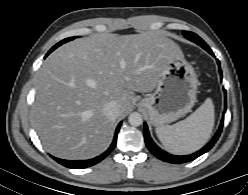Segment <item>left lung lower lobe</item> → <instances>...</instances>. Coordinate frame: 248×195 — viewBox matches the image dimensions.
Wrapping results in <instances>:
<instances>
[{"label": "left lung lower lobe", "mask_w": 248, "mask_h": 195, "mask_svg": "<svg viewBox=\"0 0 248 195\" xmlns=\"http://www.w3.org/2000/svg\"><path fill=\"white\" fill-rule=\"evenodd\" d=\"M205 50L207 52H209L211 55H214L210 48H207ZM217 62H218V65L220 66V62L218 60H217ZM220 76L222 78V72L221 71H220ZM224 111H226V92H225ZM223 122H224V116H222L221 124L219 126L218 131L214 135L213 139L206 146H204L202 149H200L199 151H197L196 153H193L191 155L176 156V155L169 154L166 151L160 149L155 144V142L152 140V138L150 137L148 127H147L146 123L144 124V138H145V142H146V145H147L148 149L157 158H159V159H161L163 161L169 162V163H176V164L185 163V162H189V161H192V160L198 158L200 155L206 153L207 151H209L213 147V145L218 140V138H219V136L221 134V131H222V128H223Z\"/></svg>", "instance_id": "0a47b994"}]
</instances>
